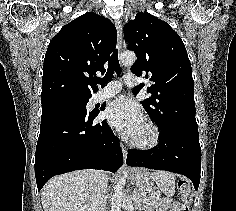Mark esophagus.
I'll return each mask as SVG.
<instances>
[{"mask_svg": "<svg viewBox=\"0 0 236 211\" xmlns=\"http://www.w3.org/2000/svg\"><path fill=\"white\" fill-rule=\"evenodd\" d=\"M114 24H115V27L117 30V48L119 51H121V49H122V24L119 19H115ZM120 146H121L122 153H123L124 163H126L127 148L122 142L120 143Z\"/></svg>", "mask_w": 236, "mask_h": 211, "instance_id": "obj_1", "label": "esophagus"}]
</instances>
